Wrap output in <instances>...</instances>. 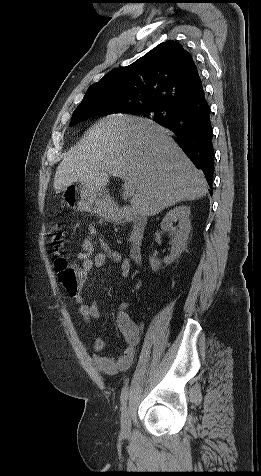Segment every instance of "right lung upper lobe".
Instances as JSON below:
<instances>
[{
	"label": "right lung upper lobe",
	"mask_w": 261,
	"mask_h": 476,
	"mask_svg": "<svg viewBox=\"0 0 261 476\" xmlns=\"http://www.w3.org/2000/svg\"><path fill=\"white\" fill-rule=\"evenodd\" d=\"M203 92L192 55L178 42H162L134 63L115 68L92 84L80 103L124 106L163 105L177 109Z\"/></svg>",
	"instance_id": "1"
}]
</instances>
